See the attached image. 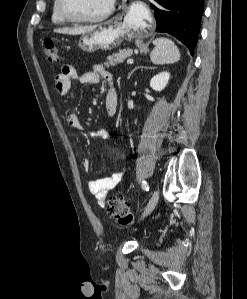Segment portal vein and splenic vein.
Returning a JSON list of instances; mask_svg holds the SVG:
<instances>
[{
    "instance_id": "18ae733b",
    "label": "portal vein and splenic vein",
    "mask_w": 247,
    "mask_h": 299,
    "mask_svg": "<svg viewBox=\"0 0 247 299\" xmlns=\"http://www.w3.org/2000/svg\"><path fill=\"white\" fill-rule=\"evenodd\" d=\"M133 62H134L133 59H128L127 60V64H133Z\"/></svg>"
}]
</instances>
